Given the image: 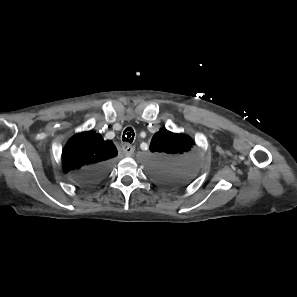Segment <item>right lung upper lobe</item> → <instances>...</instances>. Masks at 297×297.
Returning <instances> with one entry per match:
<instances>
[{"instance_id": "right-lung-upper-lobe-1", "label": "right lung upper lobe", "mask_w": 297, "mask_h": 297, "mask_svg": "<svg viewBox=\"0 0 297 297\" xmlns=\"http://www.w3.org/2000/svg\"><path fill=\"white\" fill-rule=\"evenodd\" d=\"M117 154L112 141H105L101 135L88 131L76 134L68 141L62 153V162L65 172L74 174L99 163H110Z\"/></svg>"}]
</instances>
